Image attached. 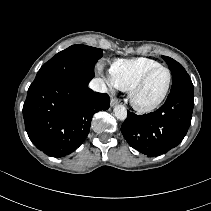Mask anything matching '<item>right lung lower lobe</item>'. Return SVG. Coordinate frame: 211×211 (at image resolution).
<instances>
[{
    "label": "right lung lower lobe",
    "instance_id": "right-lung-lower-lobe-1",
    "mask_svg": "<svg viewBox=\"0 0 211 211\" xmlns=\"http://www.w3.org/2000/svg\"><path fill=\"white\" fill-rule=\"evenodd\" d=\"M109 105V96L94 92L88 83L63 78L34 80L23 106L26 131L39 150L64 157L86 139L94 113Z\"/></svg>",
    "mask_w": 211,
    "mask_h": 211
}]
</instances>
